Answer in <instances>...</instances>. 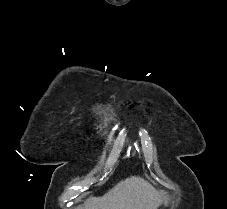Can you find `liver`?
I'll return each mask as SVG.
<instances>
[{"label":"liver","instance_id":"obj_1","mask_svg":"<svg viewBox=\"0 0 227 209\" xmlns=\"http://www.w3.org/2000/svg\"><path fill=\"white\" fill-rule=\"evenodd\" d=\"M160 195L139 177L118 183L104 197H90L84 209H157Z\"/></svg>","mask_w":227,"mask_h":209}]
</instances>
